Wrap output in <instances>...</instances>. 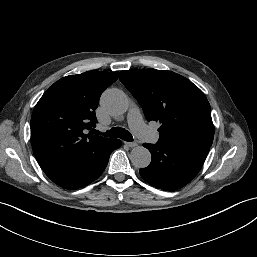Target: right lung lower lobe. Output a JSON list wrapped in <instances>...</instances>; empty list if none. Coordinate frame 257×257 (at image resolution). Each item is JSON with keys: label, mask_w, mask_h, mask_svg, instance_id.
I'll use <instances>...</instances> for the list:
<instances>
[{"label": "right lung lower lobe", "mask_w": 257, "mask_h": 257, "mask_svg": "<svg viewBox=\"0 0 257 257\" xmlns=\"http://www.w3.org/2000/svg\"><path fill=\"white\" fill-rule=\"evenodd\" d=\"M121 141L111 139L104 147L68 167L46 174L54 183L66 189H77L96 180L105 170L111 152Z\"/></svg>", "instance_id": "obj_1"}]
</instances>
